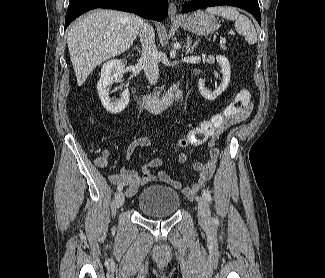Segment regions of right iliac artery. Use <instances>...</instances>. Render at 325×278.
I'll return each mask as SVG.
<instances>
[{
    "label": "right iliac artery",
    "instance_id": "obj_1",
    "mask_svg": "<svg viewBox=\"0 0 325 278\" xmlns=\"http://www.w3.org/2000/svg\"><path fill=\"white\" fill-rule=\"evenodd\" d=\"M123 189V186L120 184V185H118V187H117V190L118 191H121Z\"/></svg>",
    "mask_w": 325,
    "mask_h": 278
}]
</instances>
